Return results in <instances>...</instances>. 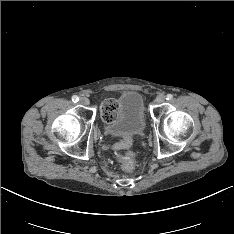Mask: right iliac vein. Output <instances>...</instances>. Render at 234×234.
<instances>
[{
    "label": "right iliac vein",
    "mask_w": 234,
    "mask_h": 234,
    "mask_svg": "<svg viewBox=\"0 0 234 234\" xmlns=\"http://www.w3.org/2000/svg\"><path fill=\"white\" fill-rule=\"evenodd\" d=\"M80 103L82 105L88 106L90 104V101L87 97H82V98H80Z\"/></svg>",
    "instance_id": "63e3f726"
}]
</instances>
